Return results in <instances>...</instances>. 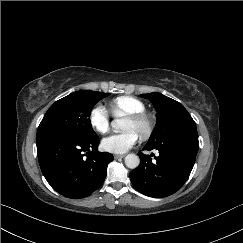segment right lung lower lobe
I'll use <instances>...</instances> for the list:
<instances>
[{
  "instance_id": "obj_1",
  "label": "right lung lower lobe",
  "mask_w": 243,
  "mask_h": 243,
  "mask_svg": "<svg viewBox=\"0 0 243 243\" xmlns=\"http://www.w3.org/2000/svg\"><path fill=\"white\" fill-rule=\"evenodd\" d=\"M39 164L51 187L65 197L84 198L97 190L106 177L110 153L98 152L99 138L77 139L46 136L36 140ZM86 155H90L84 158Z\"/></svg>"
}]
</instances>
